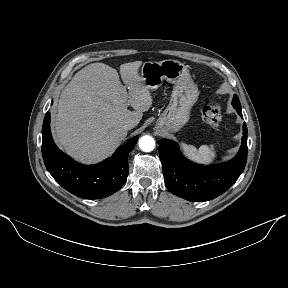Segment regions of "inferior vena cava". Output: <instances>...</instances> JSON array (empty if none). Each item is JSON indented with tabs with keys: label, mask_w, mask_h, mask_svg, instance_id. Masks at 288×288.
<instances>
[{
	"label": "inferior vena cava",
	"mask_w": 288,
	"mask_h": 288,
	"mask_svg": "<svg viewBox=\"0 0 288 288\" xmlns=\"http://www.w3.org/2000/svg\"><path fill=\"white\" fill-rule=\"evenodd\" d=\"M137 124H136V122L134 121V120H128V121H126L125 123H124V125H123V128L125 129V130H130V129H132L133 127H135Z\"/></svg>",
	"instance_id": "1"
}]
</instances>
